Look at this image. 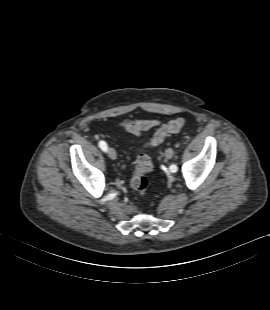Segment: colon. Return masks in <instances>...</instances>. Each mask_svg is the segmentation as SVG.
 <instances>
[{
  "label": "colon",
  "instance_id": "1",
  "mask_svg": "<svg viewBox=\"0 0 270 310\" xmlns=\"http://www.w3.org/2000/svg\"><path fill=\"white\" fill-rule=\"evenodd\" d=\"M185 124L183 118H175L166 125L159 128L148 142V146H157L161 144L165 138L173 133L179 132ZM153 164L150 156L142 152L136 158L135 172L131 179V187L138 196L143 197L146 194L149 182L147 174L152 170Z\"/></svg>",
  "mask_w": 270,
  "mask_h": 310
}]
</instances>
